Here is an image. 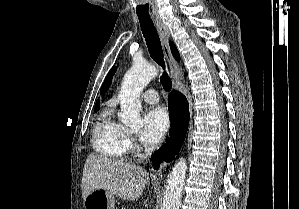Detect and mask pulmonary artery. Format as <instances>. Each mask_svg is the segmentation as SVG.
I'll use <instances>...</instances> for the list:
<instances>
[{"label": "pulmonary artery", "mask_w": 299, "mask_h": 209, "mask_svg": "<svg viewBox=\"0 0 299 209\" xmlns=\"http://www.w3.org/2000/svg\"><path fill=\"white\" fill-rule=\"evenodd\" d=\"M141 99L149 104H156L159 102V96L156 90L147 89L141 94Z\"/></svg>", "instance_id": "pulmonary-artery-1"}]
</instances>
